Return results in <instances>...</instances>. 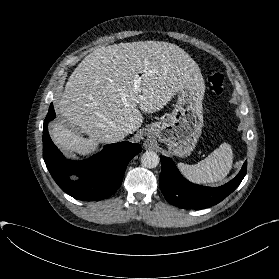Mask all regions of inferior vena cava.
Wrapping results in <instances>:
<instances>
[{
  "mask_svg": "<svg viewBox=\"0 0 279 279\" xmlns=\"http://www.w3.org/2000/svg\"><path fill=\"white\" fill-rule=\"evenodd\" d=\"M122 135L125 137L128 134L132 133V128L131 127H127V128H122L121 130Z\"/></svg>",
  "mask_w": 279,
  "mask_h": 279,
  "instance_id": "inferior-vena-cava-1",
  "label": "inferior vena cava"
}]
</instances>
